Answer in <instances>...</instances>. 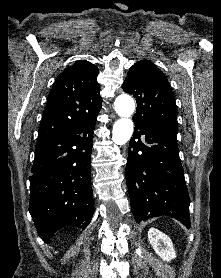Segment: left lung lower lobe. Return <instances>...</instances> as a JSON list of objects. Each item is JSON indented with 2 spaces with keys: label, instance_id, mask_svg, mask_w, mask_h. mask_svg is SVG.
Segmentation results:
<instances>
[{
  "label": "left lung lower lobe",
  "instance_id": "obj_1",
  "mask_svg": "<svg viewBox=\"0 0 221 278\" xmlns=\"http://www.w3.org/2000/svg\"><path fill=\"white\" fill-rule=\"evenodd\" d=\"M126 183L135 221L167 215L190 228V199L179 158L177 128L135 122Z\"/></svg>",
  "mask_w": 221,
  "mask_h": 278
}]
</instances>
